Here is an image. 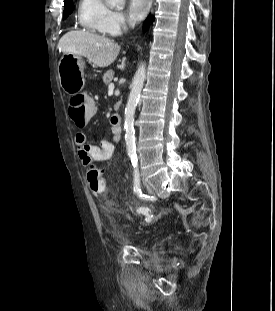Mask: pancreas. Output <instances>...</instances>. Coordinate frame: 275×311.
Returning <instances> with one entry per match:
<instances>
[{"label":"pancreas","mask_w":275,"mask_h":311,"mask_svg":"<svg viewBox=\"0 0 275 311\" xmlns=\"http://www.w3.org/2000/svg\"><path fill=\"white\" fill-rule=\"evenodd\" d=\"M114 76V71L113 70H108L104 75H103V82L105 85H109L111 81L113 80Z\"/></svg>","instance_id":"obj_1"}]
</instances>
